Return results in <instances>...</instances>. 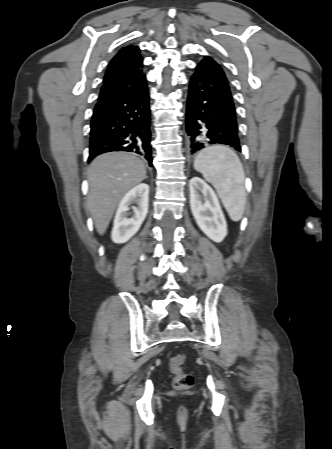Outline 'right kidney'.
<instances>
[{"label": "right kidney", "instance_id": "ca27d5eb", "mask_svg": "<svg viewBox=\"0 0 332 449\" xmlns=\"http://www.w3.org/2000/svg\"><path fill=\"white\" fill-rule=\"evenodd\" d=\"M149 186L145 183L138 184L128 191L119 203L115 218L111 238L114 243L121 244L127 242L140 229L148 213ZM134 214L128 217L130 206Z\"/></svg>", "mask_w": 332, "mask_h": 449}]
</instances>
